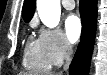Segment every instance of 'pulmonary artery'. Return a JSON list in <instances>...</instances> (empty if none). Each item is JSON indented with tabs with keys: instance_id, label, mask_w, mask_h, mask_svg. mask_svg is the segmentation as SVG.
Segmentation results:
<instances>
[{
	"instance_id": "e3ab8cb5",
	"label": "pulmonary artery",
	"mask_w": 107,
	"mask_h": 75,
	"mask_svg": "<svg viewBox=\"0 0 107 75\" xmlns=\"http://www.w3.org/2000/svg\"><path fill=\"white\" fill-rule=\"evenodd\" d=\"M62 5L67 10H72L75 7L74 0H62Z\"/></svg>"
}]
</instances>
